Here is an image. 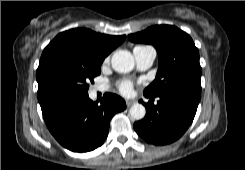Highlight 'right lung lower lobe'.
Returning a JSON list of instances; mask_svg holds the SVG:
<instances>
[{
    "label": "right lung lower lobe",
    "instance_id": "1",
    "mask_svg": "<svg viewBox=\"0 0 245 170\" xmlns=\"http://www.w3.org/2000/svg\"><path fill=\"white\" fill-rule=\"evenodd\" d=\"M125 108V101L115 94L106 93L100 104L87 94L44 109L42 114L49 131L63 147L86 152L102 145L111 118Z\"/></svg>",
    "mask_w": 245,
    "mask_h": 170
}]
</instances>
